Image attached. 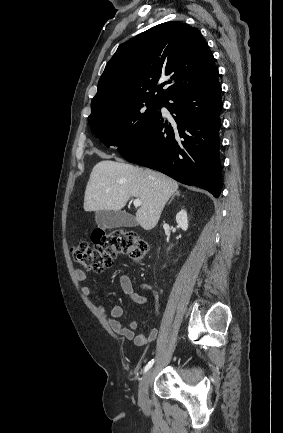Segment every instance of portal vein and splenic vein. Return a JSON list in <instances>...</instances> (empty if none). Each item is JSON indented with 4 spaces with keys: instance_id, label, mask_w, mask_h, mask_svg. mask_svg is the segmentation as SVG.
Instances as JSON below:
<instances>
[{
    "instance_id": "18ae733b",
    "label": "portal vein and splenic vein",
    "mask_w": 283,
    "mask_h": 433,
    "mask_svg": "<svg viewBox=\"0 0 283 433\" xmlns=\"http://www.w3.org/2000/svg\"><path fill=\"white\" fill-rule=\"evenodd\" d=\"M133 204L134 206H140V204H142V200H139V198H134Z\"/></svg>"
}]
</instances>
